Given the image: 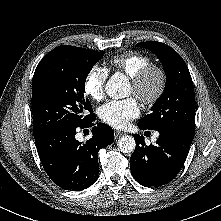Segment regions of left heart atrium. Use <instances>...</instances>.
I'll use <instances>...</instances> for the list:
<instances>
[{
	"mask_svg": "<svg viewBox=\"0 0 221 221\" xmlns=\"http://www.w3.org/2000/svg\"><path fill=\"white\" fill-rule=\"evenodd\" d=\"M98 115L104 123L122 129L140 115V106L133 97L112 100L99 107Z\"/></svg>",
	"mask_w": 221,
	"mask_h": 221,
	"instance_id": "1",
	"label": "left heart atrium"
}]
</instances>
